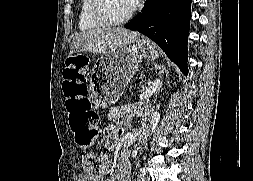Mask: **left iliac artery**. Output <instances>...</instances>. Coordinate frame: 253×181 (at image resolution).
I'll list each match as a JSON object with an SVG mask.
<instances>
[{
  "label": "left iliac artery",
  "mask_w": 253,
  "mask_h": 181,
  "mask_svg": "<svg viewBox=\"0 0 253 181\" xmlns=\"http://www.w3.org/2000/svg\"><path fill=\"white\" fill-rule=\"evenodd\" d=\"M140 177L142 179V181H145V170L144 169H141V174H140Z\"/></svg>",
  "instance_id": "1"
}]
</instances>
